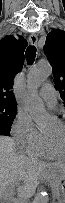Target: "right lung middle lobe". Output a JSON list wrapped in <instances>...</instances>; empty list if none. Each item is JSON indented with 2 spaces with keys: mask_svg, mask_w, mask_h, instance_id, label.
<instances>
[{
  "mask_svg": "<svg viewBox=\"0 0 65 203\" xmlns=\"http://www.w3.org/2000/svg\"><path fill=\"white\" fill-rule=\"evenodd\" d=\"M17 112L16 104L0 102V134L9 135Z\"/></svg>",
  "mask_w": 65,
  "mask_h": 203,
  "instance_id": "1",
  "label": "right lung middle lobe"
}]
</instances>
